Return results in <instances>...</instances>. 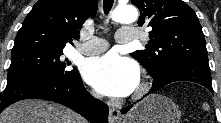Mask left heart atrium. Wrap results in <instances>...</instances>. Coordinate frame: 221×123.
<instances>
[{"label":"left heart atrium","mask_w":221,"mask_h":123,"mask_svg":"<svg viewBox=\"0 0 221 123\" xmlns=\"http://www.w3.org/2000/svg\"><path fill=\"white\" fill-rule=\"evenodd\" d=\"M82 74L96 91L114 97L129 95L139 82L136 63L114 52L88 59Z\"/></svg>","instance_id":"1"}]
</instances>
